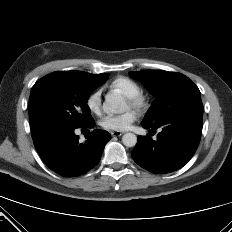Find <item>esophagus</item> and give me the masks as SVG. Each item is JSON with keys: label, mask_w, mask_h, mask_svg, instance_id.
I'll list each match as a JSON object with an SVG mask.
<instances>
[{"label": "esophagus", "mask_w": 232, "mask_h": 232, "mask_svg": "<svg viewBox=\"0 0 232 232\" xmlns=\"http://www.w3.org/2000/svg\"><path fill=\"white\" fill-rule=\"evenodd\" d=\"M110 134H111V136H115V137H119V136H121L122 135V132H118V131H111L110 132Z\"/></svg>", "instance_id": "esophagus-1"}]
</instances>
